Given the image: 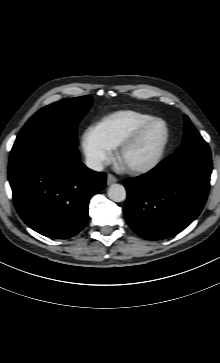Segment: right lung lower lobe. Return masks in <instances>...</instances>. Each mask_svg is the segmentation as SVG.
<instances>
[{
    "label": "right lung lower lobe",
    "instance_id": "obj_1",
    "mask_svg": "<svg viewBox=\"0 0 220 363\" xmlns=\"http://www.w3.org/2000/svg\"><path fill=\"white\" fill-rule=\"evenodd\" d=\"M8 177L23 221L38 233L67 239L82 230L91 197L106 174L88 169L67 139L52 137L10 155Z\"/></svg>",
    "mask_w": 220,
    "mask_h": 363
}]
</instances>
